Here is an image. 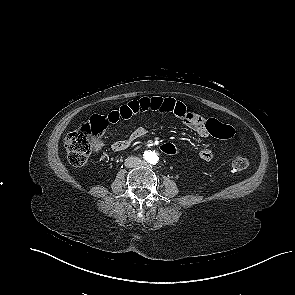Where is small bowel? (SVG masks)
I'll return each instance as SVG.
<instances>
[{
  "label": "small bowel",
  "mask_w": 295,
  "mask_h": 295,
  "mask_svg": "<svg viewBox=\"0 0 295 295\" xmlns=\"http://www.w3.org/2000/svg\"><path fill=\"white\" fill-rule=\"evenodd\" d=\"M171 113L179 119L188 129L192 130L200 137H207L210 132L207 129V122L201 115L188 110L187 106L174 98L166 97H143L132 100L127 104L120 106L116 110L110 111L104 117L107 124H114L120 120H128L135 115L144 112ZM147 130L144 127L136 128L128 138L115 141L111 148L114 152H123L127 150L135 141L144 137ZM199 157L206 162L214 159L215 154L209 148H201Z\"/></svg>",
  "instance_id": "c3829d8e"
}]
</instances>
